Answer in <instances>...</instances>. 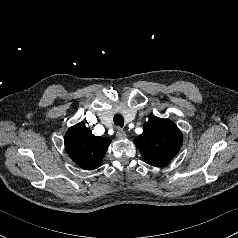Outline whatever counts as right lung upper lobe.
<instances>
[{
	"mask_svg": "<svg viewBox=\"0 0 238 238\" xmlns=\"http://www.w3.org/2000/svg\"><path fill=\"white\" fill-rule=\"evenodd\" d=\"M65 149L70 158L82 169L100 167L111 140L92 134L83 123L69 128L65 134Z\"/></svg>",
	"mask_w": 238,
	"mask_h": 238,
	"instance_id": "obj_1",
	"label": "right lung upper lobe"
}]
</instances>
